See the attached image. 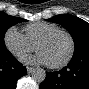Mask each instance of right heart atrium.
I'll return each mask as SVG.
<instances>
[{
    "label": "right heart atrium",
    "mask_w": 89,
    "mask_h": 89,
    "mask_svg": "<svg viewBox=\"0 0 89 89\" xmlns=\"http://www.w3.org/2000/svg\"><path fill=\"white\" fill-rule=\"evenodd\" d=\"M3 40L8 51L18 59L35 49V45L14 26L5 31Z\"/></svg>",
    "instance_id": "1"
}]
</instances>
